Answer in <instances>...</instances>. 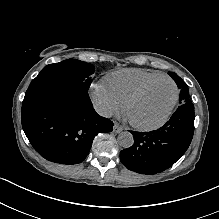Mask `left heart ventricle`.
<instances>
[{"instance_id": "left-heart-ventricle-1", "label": "left heart ventricle", "mask_w": 219, "mask_h": 219, "mask_svg": "<svg viewBox=\"0 0 219 219\" xmlns=\"http://www.w3.org/2000/svg\"><path fill=\"white\" fill-rule=\"evenodd\" d=\"M174 92L171 82L166 80L158 82L133 105L130 111L131 117L140 123L158 121L170 105Z\"/></svg>"}]
</instances>
